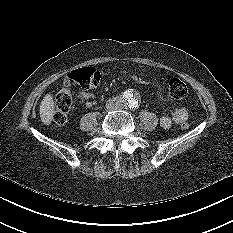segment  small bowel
Returning a JSON list of instances; mask_svg holds the SVG:
<instances>
[{"label":"small bowel","instance_id":"1","mask_svg":"<svg viewBox=\"0 0 233 233\" xmlns=\"http://www.w3.org/2000/svg\"><path fill=\"white\" fill-rule=\"evenodd\" d=\"M78 104L89 108L95 104V96L91 92L78 91L75 93ZM189 119V112L185 107L177 108L170 116L164 115L160 117V126L164 129H169L173 125H179Z\"/></svg>","mask_w":233,"mask_h":233}]
</instances>
